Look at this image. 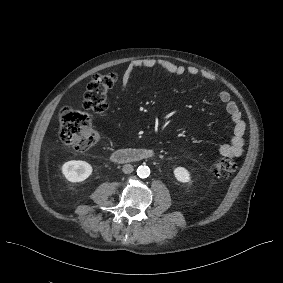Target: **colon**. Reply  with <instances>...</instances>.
I'll return each mask as SVG.
<instances>
[{
	"label": "colon",
	"mask_w": 283,
	"mask_h": 283,
	"mask_svg": "<svg viewBox=\"0 0 283 283\" xmlns=\"http://www.w3.org/2000/svg\"><path fill=\"white\" fill-rule=\"evenodd\" d=\"M115 73L96 75L87 85L83 96V107L95 114H103L108 108V93L116 84ZM59 134L61 140L77 151H86L99 141V133L93 128L89 114L75 108H64L59 116ZM217 178L229 177L236 170V164L230 159H220L210 168Z\"/></svg>",
	"instance_id": "obj_1"
}]
</instances>
